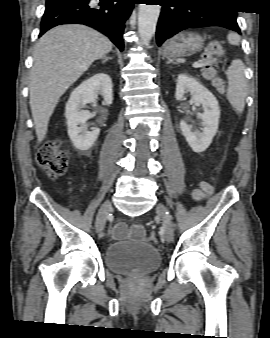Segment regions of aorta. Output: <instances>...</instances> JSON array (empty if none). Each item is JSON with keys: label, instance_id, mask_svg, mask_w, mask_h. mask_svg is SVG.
I'll use <instances>...</instances> for the list:
<instances>
[{"label": "aorta", "instance_id": "1", "mask_svg": "<svg viewBox=\"0 0 270 338\" xmlns=\"http://www.w3.org/2000/svg\"><path fill=\"white\" fill-rule=\"evenodd\" d=\"M160 14L159 5L140 4L138 31L143 42L149 43L153 37Z\"/></svg>", "mask_w": 270, "mask_h": 338}]
</instances>
